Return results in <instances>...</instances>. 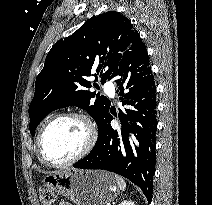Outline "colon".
<instances>
[{
    "instance_id": "obj_1",
    "label": "colon",
    "mask_w": 212,
    "mask_h": 205,
    "mask_svg": "<svg viewBox=\"0 0 212 205\" xmlns=\"http://www.w3.org/2000/svg\"><path fill=\"white\" fill-rule=\"evenodd\" d=\"M55 194L49 187H43L40 191V202L42 205H53Z\"/></svg>"
}]
</instances>
